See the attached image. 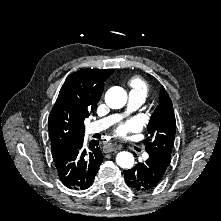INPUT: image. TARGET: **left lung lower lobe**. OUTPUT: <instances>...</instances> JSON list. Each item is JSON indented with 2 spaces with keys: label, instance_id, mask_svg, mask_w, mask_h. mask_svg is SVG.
Segmentation results:
<instances>
[{
  "label": "left lung lower lobe",
  "instance_id": "0a47b994",
  "mask_svg": "<svg viewBox=\"0 0 221 221\" xmlns=\"http://www.w3.org/2000/svg\"><path fill=\"white\" fill-rule=\"evenodd\" d=\"M149 158L145 163L125 170V181L136 191H150L164 178L171 159L156 152H148Z\"/></svg>",
  "mask_w": 221,
  "mask_h": 221
}]
</instances>
